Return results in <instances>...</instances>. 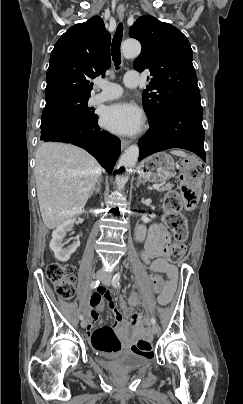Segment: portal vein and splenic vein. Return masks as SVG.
I'll return each mask as SVG.
<instances>
[{"label": "portal vein and splenic vein", "mask_w": 243, "mask_h": 404, "mask_svg": "<svg viewBox=\"0 0 243 404\" xmlns=\"http://www.w3.org/2000/svg\"><path fill=\"white\" fill-rule=\"evenodd\" d=\"M153 188H154V190H159L160 184H154Z\"/></svg>", "instance_id": "1"}]
</instances>
